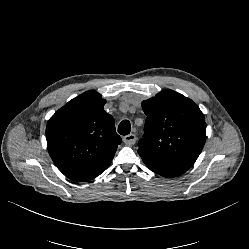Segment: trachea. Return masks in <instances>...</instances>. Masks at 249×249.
I'll return each instance as SVG.
<instances>
[{"mask_svg": "<svg viewBox=\"0 0 249 249\" xmlns=\"http://www.w3.org/2000/svg\"><path fill=\"white\" fill-rule=\"evenodd\" d=\"M131 131V125L128 120L122 121L118 126V132L121 135H128Z\"/></svg>", "mask_w": 249, "mask_h": 249, "instance_id": "1", "label": "trachea"}]
</instances>
